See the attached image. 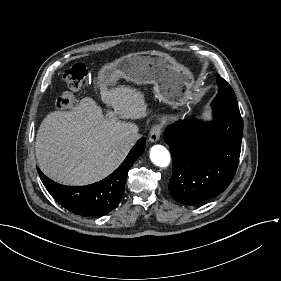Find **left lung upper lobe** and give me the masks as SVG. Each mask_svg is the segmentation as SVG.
<instances>
[{"instance_id": "left-lung-upper-lobe-1", "label": "left lung upper lobe", "mask_w": 281, "mask_h": 281, "mask_svg": "<svg viewBox=\"0 0 281 281\" xmlns=\"http://www.w3.org/2000/svg\"><path fill=\"white\" fill-rule=\"evenodd\" d=\"M217 83H218V94L212 101L213 103L218 102H230L233 104H238L234 91L231 86L219 75H216Z\"/></svg>"}]
</instances>
